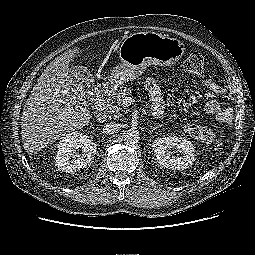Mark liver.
I'll return each instance as SVG.
<instances>
[{"label":"liver","instance_id":"1","mask_svg":"<svg viewBox=\"0 0 255 255\" xmlns=\"http://www.w3.org/2000/svg\"><path fill=\"white\" fill-rule=\"evenodd\" d=\"M79 50L69 49L50 62L25 103L21 135L29 154H36L90 121L86 100L73 88L69 77V64Z\"/></svg>","mask_w":255,"mask_h":255}]
</instances>
